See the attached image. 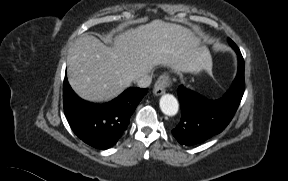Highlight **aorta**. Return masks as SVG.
<instances>
[{
    "mask_svg": "<svg viewBox=\"0 0 288 181\" xmlns=\"http://www.w3.org/2000/svg\"><path fill=\"white\" fill-rule=\"evenodd\" d=\"M160 109L167 116H174L178 112L179 104L177 99L171 94H164L160 98Z\"/></svg>",
    "mask_w": 288,
    "mask_h": 181,
    "instance_id": "1",
    "label": "aorta"
}]
</instances>
